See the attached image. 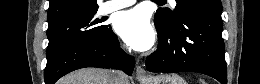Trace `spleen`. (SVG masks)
Wrapping results in <instances>:
<instances>
[{
    "mask_svg": "<svg viewBox=\"0 0 260 84\" xmlns=\"http://www.w3.org/2000/svg\"><path fill=\"white\" fill-rule=\"evenodd\" d=\"M200 83H201V84H205V81L202 80V79H200Z\"/></svg>",
    "mask_w": 260,
    "mask_h": 84,
    "instance_id": "3e777b00",
    "label": "spleen"
}]
</instances>
